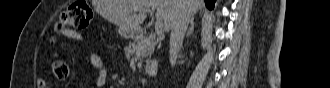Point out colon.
Instances as JSON below:
<instances>
[{
	"mask_svg": "<svg viewBox=\"0 0 330 88\" xmlns=\"http://www.w3.org/2000/svg\"><path fill=\"white\" fill-rule=\"evenodd\" d=\"M93 18V11L85 0H78L70 4L61 14V17L56 24L57 34H62L63 31L69 28L85 29L89 26ZM52 43L57 46H62L56 37L52 38ZM51 63L50 73L57 80H66L69 76L68 64L56 58Z\"/></svg>",
	"mask_w": 330,
	"mask_h": 88,
	"instance_id": "colon-1",
	"label": "colon"
}]
</instances>
